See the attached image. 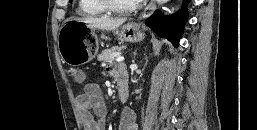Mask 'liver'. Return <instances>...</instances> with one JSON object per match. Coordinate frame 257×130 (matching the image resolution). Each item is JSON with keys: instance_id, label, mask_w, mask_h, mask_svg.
<instances>
[{"instance_id": "liver-1", "label": "liver", "mask_w": 257, "mask_h": 130, "mask_svg": "<svg viewBox=\"0 0 257 130\" xmlns=\"http://www.w3.org/2000/svg\"><path fill=\"white\" fill-rule=\"evenodd\" d=\"M76 20L87 24L90 28H97L105 31H113L116 30L119 26H121L126 21V18L112 19L108 17H87L78 18Z\"/></svg>"}]
</instances>
